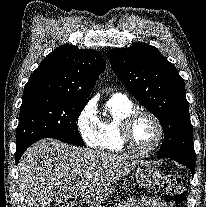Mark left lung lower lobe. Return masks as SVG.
I'll return each instance as SVG.
<instances>
[{"mask_svg": "<svg viewBox=\"0 0 206 207\" xmlns=\"http://www.w3.org/2000/svg\"><path fill=\"white\" fill-rule=\"evenodd\" d=\"M174 160L181 163V164H183V165H185V166H187L191 170L192 174L194 175V173H195V163L189 162V161L176 160V159H174Z\"/></svg>", "mask_w": 206, "mask_h": 207, "instance_id": "0a47b994", "label": "left lung lower lobe"}]
</instances>
